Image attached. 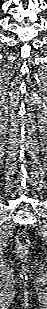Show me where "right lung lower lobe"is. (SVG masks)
Instances as JSON below:
<instances>
[{"label":"right lung lower lobe","mask_w":47,"mask_h":309,"mask_svg":"<svg viewBox=\"0 0 47 309\" xmlns=\"http://www.w3.org/2000/svg\"><path fill=\"white\" fill-rule=\"evenodd\" d=\"M1 5H2V2H1V0H0V7H1Z\"/></svg>","instance_id":"obj_1"}]
</instances>
